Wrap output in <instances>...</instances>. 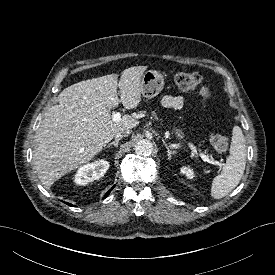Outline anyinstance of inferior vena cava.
Instances as JSON below:
<instances>
[{
  "mask_svg": "<svg viewBox=\"0 0 275 275\" xmlns=\"http://www.w3.org/2000/svg\"><path fill=\"white\" fill-rule=\"evenodd\" d=\"M131 133V131L129 129H125V130H121L118 133L115 134V138H122V137H126Z\"/></svg>",
  "mask_w": 275,
  "mask_h": 275,
  "instance_id": "1",
  "label": "inferior vena cava"
}]
</instances>
